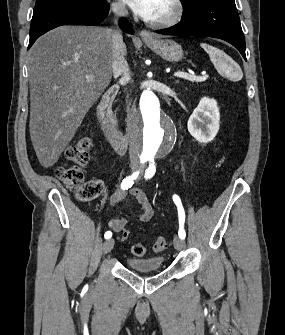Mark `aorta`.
<instances>
[{"label": "aorta", "instance_id": "obj_1", "mask_svg": "<svg viewBox=\"0 0 285 335\" xmlns=\"http://www.w3.org/2000/svg\"><path fill=\"white\" fill-rule=\"evenodd\" d=\"M139 111L143 112L142 125L135 127L137 146L143 160H161L176 146L179 130L175 119H168L165 95L158 90H137Z\"/></svg>", "mask_w": 285, "mask_h": 335}]
</instances>
